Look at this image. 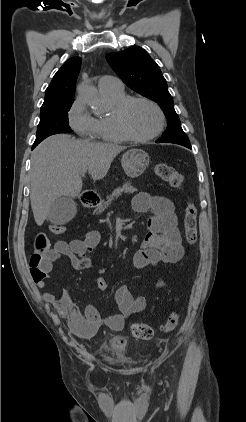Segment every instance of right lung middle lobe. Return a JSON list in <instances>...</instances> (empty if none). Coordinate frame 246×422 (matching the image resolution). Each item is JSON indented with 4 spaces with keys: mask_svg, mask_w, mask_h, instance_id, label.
Returning <instances> with one entry per match:
<instances>
[{
    "mask_svg": "<svg viewBox=\"0 0 246 422\" xmlns=\"http://www.w3.org/2000/svg\"><path fill=\"white\" fill-rule=\"evenodd\" d=\"M73 102L74 100H66L41 107L40 122L33 147H36L48 136L72 132L68 121V111Z\"/></svg>",
    "mask_w": 246,
    "mask_h": 422,
    "instance_id": "obj_1",
    "label": "right lung middle lobe"
}]
</instances>
